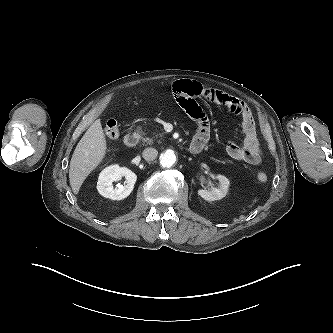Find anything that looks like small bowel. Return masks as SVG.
I'll return each mask as SVG.
<instances>
[{
    "label": "small bowel",
    "instance_id": "c3829d8e",
    "mask_svg": "<svg viewBox=\"0 0 333 333\" xmlns=\"http://www.w3.org/2000/svg\"><path fill=\"white\" fill-rule=\"evenodd\" d=\"M173 93L180 106L197 123V131L192 142H208L210 137V126L207 116L197 103L203 99L217 104L241 118L244 134L243 143L229 142L226 151L235 160L246 162L250 165H258L261 162V151L256 132V125L250 108L240 99L235 98L218 89L206 87L202 84L181 80L173 85Z\"/></svg>",
    "mask_w": 333,
    "mask_h": 333
}]
</instances>
